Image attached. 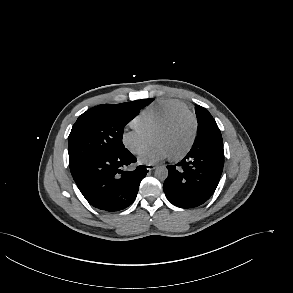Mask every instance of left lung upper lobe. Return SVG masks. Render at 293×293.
Returning <instances> with one entry per match:
<instances>
[{
	"instance_id": "1",
	"label": "left lung upper lobe",
	"mask_w": 293,
	"mask_h": 293,
	"mask_svg": "<svg viewBox=\"0 0 293 293\" xmlns=\"http://www.w3.org/2000/svg\"><path fill=\"white\" fill-rule=\"evenodd\" d=\"M195 112L198 120L195 143L205 140H216L217 142L223 143L221 132L212 115L202 106H197Z\"/></svg>"
}]
</instances>
